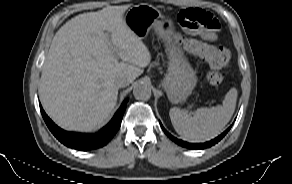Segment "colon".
I'll list each match as a JSON object with an SVG mask.
<instances>
[{"instance_id":"obj_1","label":"colon","mask_w":292,"mask_h":184,"mask_svg":"<svg viewBox=\"0 0 292 184\" xmlns=\"http://www.w3.org/2000/svg\"><path fill=\"white\" fill-rule=\"evenodd\" d=\"M180 25L190 33H197L202 29L218 30V20L203 9H184L178 14ZM183 45L187 51L197 55L212 68L207 79L212 85L220 84L225 77L224 69L229 66L231 54L228 49L196 39H185Z\"/></svg>"}]
</instances>
